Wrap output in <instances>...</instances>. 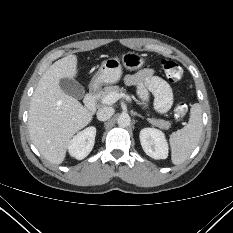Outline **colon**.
<instances>
[{
    "mask_svg": "<svg viewBox=\"0 0 233 233\" xmlns=\"http://www.w3.org/2000/svg\"><path fill=\"white\" fill-rule=\"evenodd\" d=\"M161 66L169 81L179 82L182 79L183 70L181 66L175 61L169 59H163L161 60ZM187 111H188V107L186 103L184 102L177 103L174 109L175 118L177 120H181L182 118L185 117Z\"/></svg>",
    "mask_w": 233,
    "mask_h": 233,
    "instance_id": "colon-1",
    "label": "colon"
}]
</instances>
